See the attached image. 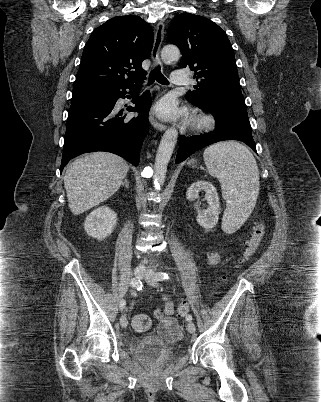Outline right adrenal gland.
<instances>
[{
  "mask_svg": "<svg viewBox=\"0 0 321 402\" xmlns=\"http://www.w3.org/2000/svg\"><path fill=\"white\" fill-rule=\"evenodd\" d=\"M124 185H125L126 188L129 187V182H128V179H127V178H125L124 181H123V183H122V186H124Z\"/></svg>",
  "mask_w": 321,
  "mask_h": 402,
  "instance_id": "right-adrenal-gland-1",
  "label": "right adrenal gland"
}]
</instances>
